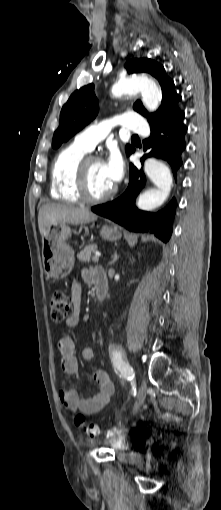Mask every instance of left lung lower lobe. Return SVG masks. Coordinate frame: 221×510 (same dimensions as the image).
I'll return each mask as SVG.
<instances>
[{"label":"left lung lower lobe","mask_w":221,"mask_h":510,"mask_svg":"<svg viewBox=\"0 0 221 510\" xmlns=\"http://www.w3.org/2000/svg\"><path fill=\"white\" fill-rule=\"evenodd\" d=\"M184 112L170 113L167 116L149 122L151 135L143 141L144 151L149 150L141 158L150 156L166 160L172 168L174 177L182 164L181 153L185 149L184 136L187 128L183 124ZM130 180L126 191L116 200L94 206L93 212L109 218L134 232H151L159 239L167 242L172 233V221L176 209L173 199L164 209L156 213L138 210L135 207V198L146 183L142 170L130 164Z\"/></svg>","instance_id":"1"}]
</instances>
